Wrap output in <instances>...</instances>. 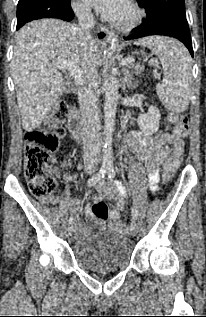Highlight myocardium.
Listing matches in <instances>:
<instances>
[{
	"mask_svg": "<svg viewBox=\"0 0 206 317\" xmlns=\"http://www.w3.org/2000/svg\"><path fill=\"white\" fill-rule=\"evenodd\" d=\"M132 14L126 21L120 22L114 19H109L110 25L119 31H130L137 27L144 17L143 9L134 0H125Z\"/></svg>",
	"mask_w": 206,
	"mask_h": 317,
	"instance_id": "myocardium-1",
	"label": "myocardium"
}]
</instances>
